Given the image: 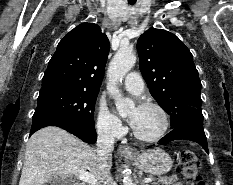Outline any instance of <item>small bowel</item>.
Instances as JSON below:
<instances>
[{
  "label": "small bowel",
  "mask_w": 233,
  "mask_h": 185,
  "mask_svg": "<svg viewBox=\"0 0 233 185\" xmlns=\"http://www.w3.org/2000/svg\"><path fill=\"white\" fill-rule=\"evenodd\" d=\"M174 185H184L182 182H176Z\"/></svg>",
  "instance_id": "obj_1"
}]
</instances>
